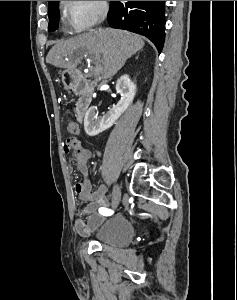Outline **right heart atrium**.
Wrapping results in <instances>:
<instances>
[{"mask_svg":"<svg viewBox=\"0 0 237 300\" xmlns=\"http://www.w3.org/2000/svg\"><path fill=\"white\" fill-rule=\"evenodd\" d=\"M61 8L73 33H81L103 23L109 12L107 1H62Z\"/></svg>","mask_w":237,"mask_h":300,"instance_id":"1","label":"right heart atrium"}]
</instances>
